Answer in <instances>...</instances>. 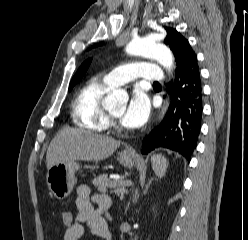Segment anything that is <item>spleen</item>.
I'll return each instance as SVG.
<instances>
[{
  "mask_svg": "<svg viewBox=\"0 0 248 240\" xmlns=\"http://www.w3.org/2000/svg\"><path fill=\"white\" fill-rule=\"evenodd\" d=\"M151 162H152V168L156 173V175L162 178L165 175L166 169L168 167L167 159L162 155L156 154L151 157Z\"/></svg>",
  "mask_w": 248,
  "mask_h": 240,
  "instance_id": "3e777b00",
  "label": "spleen"
}]
</instances>
